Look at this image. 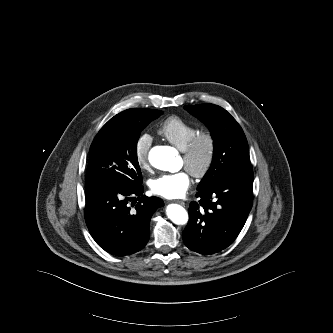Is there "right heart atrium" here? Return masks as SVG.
Listing matches in <instances>:
<instances>
[{"mask_svg": "<svg viewBox=\"0 0 333 333\" xmlns=\"http://www.w3.org/2000/svg\"><path fill=\"white\" fill-rule=\"evenodd\" d=\"M151 144L152 137L147 133L141 134L135 141L134 155L141 168H147L148 166V156Z\"/></svg>", "mask_w": 333, "mask_h": 333, "instance_id": "1", "label": "right heart atrium"}]
</instances>
